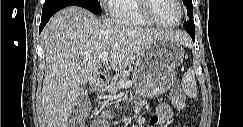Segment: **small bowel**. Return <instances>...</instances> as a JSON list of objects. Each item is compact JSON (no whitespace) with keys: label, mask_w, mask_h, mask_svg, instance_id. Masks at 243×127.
<instances>
[{"label":"small bowel","mask_w":243,"mask_h":127,"mask_svg":"<svg viewBox=\"0 0 243 127\" xmlns=\"http://www.w3.org/2000/svg\"><path fill=\"white\" fill-rule=\"evenodd\" d=\"M176 109L180 112H185L187 110V104L185 100H180L177 98H171V105L167 103H161L157 106L156 113L151 119L152 126H166L173 117L172 109ZM91 127H106L99 126L95 121L92 123Z\"/></svg>","instance_id":"small-bowel-1"}]
</instances>
